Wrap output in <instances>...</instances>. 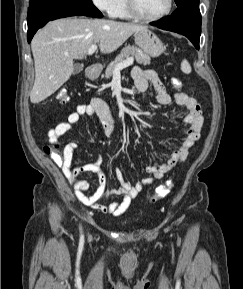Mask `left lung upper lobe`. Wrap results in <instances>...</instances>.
Instances as JSON below:
<instances>
[{
  "label": "left lung upper lobe",
  "mask_w": 243,
  "mask_h": 289,
  "mask_svg": "<svg viewBox=\"0 0 243 289\" xmlns=\"http://www.w3.org/2000/svg\"><path fill=\"white\" fill-rule=\"evenodd\" d=\"M177 6H181L187 3H199V0H175Z\"/></svg>",
  "instance_id": "left-lung-upper-lobe-1"
}]
</instances>
